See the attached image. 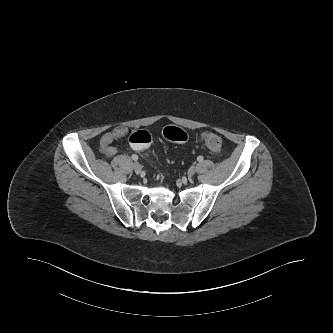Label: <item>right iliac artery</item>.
Returning a JSON list of instances; mask_svg holds the SVG:
<instances>
[{"instance_id": "obj_1", "label": "right iliac artery", "mask_w": 333, "mask_h": 333, "mask_svg": "<svg viewBox=\"0 0 333 333\" xmlns=\"http://www.w3.org/2000/svg\"><path fill=\"white\" fill-rule=\"evenodd\" d=\"M131 157H132V159H133L134 161H137V160H138V156L135 155V154H133Z\"/></svg>"}]
</instances>
